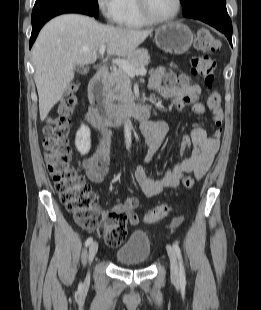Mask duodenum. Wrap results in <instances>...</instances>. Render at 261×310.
Returning a JSON list of instances; mask_svg holds the SVG:
<instances>
[{"instance_id":"duodenum-1","label":"duodenum","mask_w":261,"mask_h":310,"mask_svg":"<svg viewBox=\"0 0 261 310\" xmlns=\"http://www.w3.org/2000/svg\"><path fill=\"white\" fill-rule=\"evenodd\" d=\"M108 67L102 66L92 77L89 84V95L92 108L87 114L88 121L96 128L104 124H115L128 118H136L147 124L150 115V106L147 103H126L117 107L109 105L105 90V81Z\"/></svg>"}]
</instances>
